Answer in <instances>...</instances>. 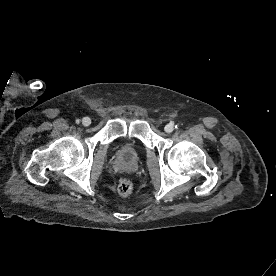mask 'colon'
<instances>
[{
	"label": "colon",
	"mask_w": 276,
	"mask_h": 276,
	"mask_svg": "<svg viewBox=\"0 0 276 276\" xmlns=\"http://www.w3.org/2000/svg\"><path fill=\"white\" fill-rule=\"evenodd\" d=\"M117 191L121 196H129L133 192V184L129 179L122 178L118 182Z\"/></svg>",
	"instance_id": "5ec220e1"
}]
</instances>
